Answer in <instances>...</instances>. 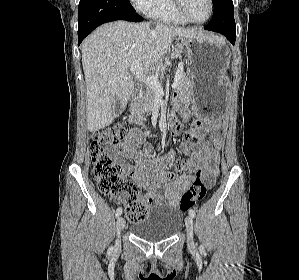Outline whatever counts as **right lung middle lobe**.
<instances>
[{
    "mask_svg": "<svg viewBox=\"0 0 299 280\" xmlns=\"http://www.w3.org/2000/svg\"><path fill=\"white\" fill-rule=\"evenodd\" d=\"M124 1H126V2H128V3L130 4V1H129V0H124Z\"/></svg>",
    "mask_w": 299,
    "mask_h": 280,
    "instance_id": "right-lung-middle-lobe-1",
    "label": "right lung middle lobe"
}]
</instances>
